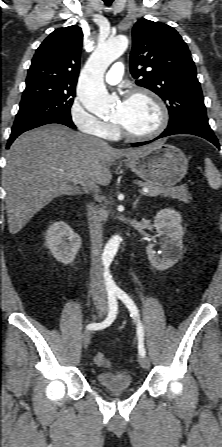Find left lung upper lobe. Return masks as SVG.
<instances>
[{"label": "left lung upper lobe", "mask_w": 222, "mask_h": 447, "mask_svg": "<svg viewBox=\"0 0 222 447\" xmlns=\"http://www.w3.org/2000/svg\"><path fill=\"white\" fill-rule=\"evenodd\" d=\"M132 37L130 71L136 84L167 103L169 125L190 121L210 129L196 68L178 32L164 23L140 19Z\"/></svg>", "instance_id": "left-lung-upper-lobe-1"}]
</instances>
